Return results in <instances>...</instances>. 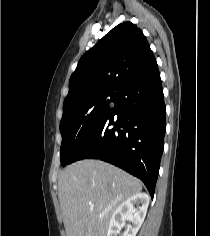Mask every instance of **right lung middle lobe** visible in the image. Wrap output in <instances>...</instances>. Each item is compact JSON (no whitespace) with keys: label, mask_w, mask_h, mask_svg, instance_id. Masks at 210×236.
Masks as SVG:
<instances>
[{"label":"right lung middle lobe","mask_w":210,"mask_h":236,"mask_svg":"<svg viewBox=\"0 0 210 236\" xmlns=\"http://www.w3.org/2000/svg\"><path fill=\"white\" fill-rule=\"evenodd\" d=\"M117 93H104L88 98L70 110L63 112L60 122L62 144L60 160L67 165L90 132L111 110L109 103L115 102Z\"/></svg>","instance_id":"1"}]
</instances>
